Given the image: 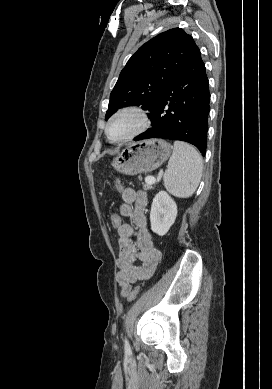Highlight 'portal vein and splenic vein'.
I'll return each instance as SVG.
<instances>
[{
	"mask_svg": "<svg viewBox=\"0 0 272 389\" xmlns=\"http://www.w3.org/2000/svg\"><path fill=\"white\" fill-rule=\"evenodd\" d=\"M146 181H147L148 183H155V182H156V179H155L154 177H148V178L146 179Z\"/></svg>",
	"mask_w": 272,
	"mask_h": 389,
	"instance_id": "portal-vein-and-splenic-vein-1",
	"label": "portal vein and splenic vein"
}]
</instances>
